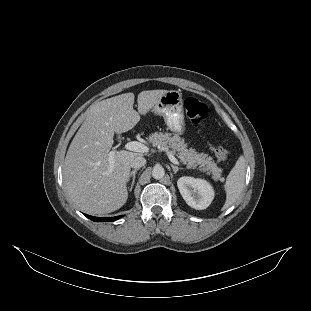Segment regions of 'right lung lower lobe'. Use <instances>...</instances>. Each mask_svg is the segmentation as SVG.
Segmentation results:
<instances>
[{
  "label": "right lung lower lobe",
  "instance_id": "98d812e1",
  "mask_svg": "<svg viewBox=\"0 0 311 311\" xmlns=\"http://www.w3.org/2000/svg\"><path fill=\"white\" fill-rule=\"evenodd\" d=\"M89 219L96 221V222H107V221H115L116 219L120 218L121 216H116V217H109V218H100V217H93L90 215H86Z\"/></svg>",
  "mask_w": 311,
  "mask_h": 311
}]
</instances>
